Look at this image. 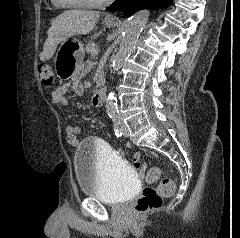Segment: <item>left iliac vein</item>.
Returning a JSON list of instances; mask_svg holds the SVG:
<instances>
[{
	"instance_id": "obj_1",
	"label": "left iliac vein",
	"mask_w": 240,
	"mask_h": 238,
	"mask_svg": "<svg viewBox=\"0 0 240 238\" xmlns=\"http://www.w3.org/2000/svg\"><path fill=\"white\" fill-rule=\"evenodd\" d=\"M122 133L124 136H129V130L125 123H122Z\"/></svg>"
}]
</instances>
